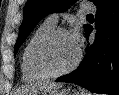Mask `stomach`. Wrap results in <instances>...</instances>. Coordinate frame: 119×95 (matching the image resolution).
Returning <instances> with one entry per match:
<instances>
[{
  "label": "stomach",
  "mask_w": 119,
  "mask_h": 95,
  "mask_svg": "<svg viewBox=\"0 0 119 95\" xmlns=\"http://www.w3.org/2000/svg\"><path fill=\"white\" fill-rule=\"evenodd\" d=\"M32 95H85V94L83 92H79L72 89H61V90L54 89L48 91H37Z\"/></svg>",
  "instance_id": "0dacf381"
}]
</instances>
